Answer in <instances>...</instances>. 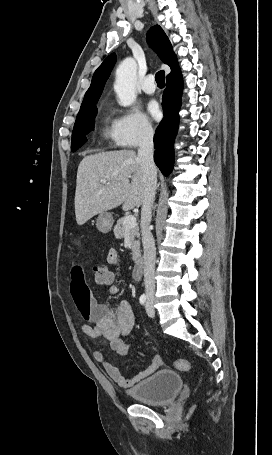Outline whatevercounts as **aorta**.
Here are the masks:
<instances>
[{"label": "aorta", "instance_id": "obj_1", "mask_svg": "<svg viewBox=\"0 0 272 455\" xmlns=\"http://www.w3.org/2000/svg\"><path fill=\"white\" fill-rule=\"evenodd\" d=\"M137 64L128 57L124 59L116 70L114 90L121 106H130L136 100Z\"/></svg>", "mask_w": 272, "mask_h": 455}]
</instances>
